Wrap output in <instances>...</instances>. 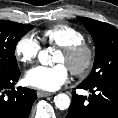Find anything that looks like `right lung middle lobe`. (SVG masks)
Masks as SVG:
<instances>
[{
    "label": "right lung middle lobe",
    "instance_id": "obj_1",
    "mask_svg": "<svg viewBox=\"0 0 118 118\" xmlns=\"http://www.w3.org/2000/svg\"><path fill=\"white\" fill-rule=\"evenodd\" d=\"M33 25H24L12 21L0 20V76L19 71L14 55L17 42Z\"/></svg>",
    "mask_w": 118,
    "mask_h": 118
}]
</instances>
